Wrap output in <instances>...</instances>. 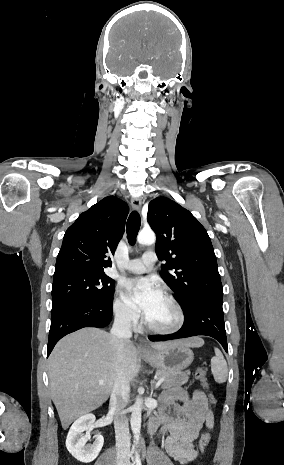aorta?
<instances>
[{
	"label": "aorta",
	"instance_id": "obj_1",
	"mask_svg": "<svg viewBox=\"0 0 284 465\" xmlns=\"http://www.w3.org/2000/svg\"><path fill=\"white\" fill-rule=\"evenodd\" d=\"M156 237L153 231H141L138 234L137 241L140 244H153L155 243ZM143 402L140 397H137L135 403L132 406L131 414V429L134 436V443L138 445L140 440V429H141V411H142ZM136 456L138 454L136 453Z\"/></svg>",
	"mask_w": 284,
	"mask_h": 465
}]
</instances>
